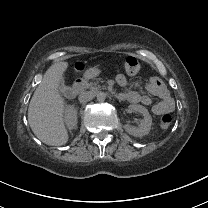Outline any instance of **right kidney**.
<instances>
[{
	"instance_id": "right-kidney-1",
	"label": "right kidney",
	"mask_w": 208,
	"mask_h": 208,
	"mask_svg": "<svg viewBox=\"0 0 208 208\" xmlns=\"http://www.w3.org/2000/svg\"><path fill=\"white\" fill-rule=\"evenodd\" d=\"M64 122L69 130L76 128L77 110L73 105H66L64 111Z\"/></svg>"
}]
</instances>
